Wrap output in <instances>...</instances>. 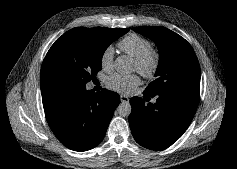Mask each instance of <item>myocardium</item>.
Returning a JSON list of instances; mask_svg holds the SVG:
<instances>
[{"label": "myocardium", "instance_id": "1", "mask_svg": "<svg viewBox=\"0 0 237 169\" xmlns=\"http://www.w3.org/2000/svg\"><path fill=\"white\" fill-rule=\"evenodd\" d=\"M137 71L145 78L151 77L157 70L160 62V55L157 50L150 48L139 57L134 58Z\"/></svg>", "mask_w": 237, "mask_h": 169}]
</instances>
